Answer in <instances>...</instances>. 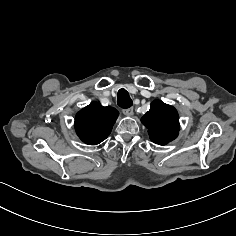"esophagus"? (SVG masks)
Listing matches in <instances>:
<instances>
[{
    "instance_id": "esophagus-1",
    "label": "esophagus",
    "mask_w": 236,
    "mask_h": 236,
    "mask_svg": "<svg viewBox=\"0 0 236 236\" xmlns=\"http://www.w3.org/2000/svg\"><path fill=\"white\" fill-rule=\"evenodd\" d=\"M123 113L127 116H131L133 115V108H127V109H123Z\"/></svg>"
}]
</instances>
